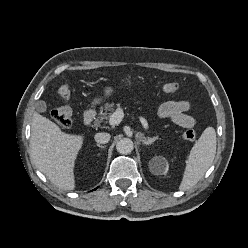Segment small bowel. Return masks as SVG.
Here are the masks:
<instances>
[{
  "instance_id": "small-bowel-1",
  "label": "small bowel",
  "mask_w": 248,
  "mask_h": 248,
  "mask_svg": "<svg viewBox=\"0 0 248 248\" xmlns=\"http://www.w3.org/2000/svg\"><path fill=\"white\" fill-rule=\"evenodd\" d=\"M190 104L187 101H167L157 109L160 118L170 119L175 125L183 128H192L195 125L193 117L188 115Z\"/></svg>"
}]
</instances>
